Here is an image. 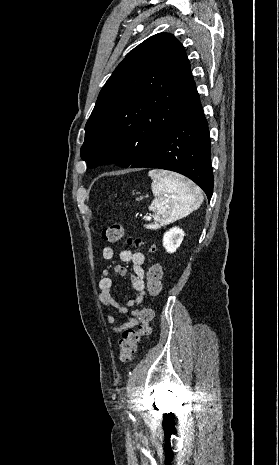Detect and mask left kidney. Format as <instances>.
Segmentation results:
<instances>
[{
  "instance_id": "left-kidney-1",
  "label": "left kidney",
  "mask_w": 279,
  "mask_h": 465,
  "mask_svg": "<svg viewBox=\"0 0 279 465\" xmlns=\"http://www.w3.org/2000/svg\"><path fill=\"white\" fill-rule=\"evenodd\" d=\"M184 231L179 227H173L163 236V247L168 253H174L184 238Z\"/></svg>"
}]
</instances>
